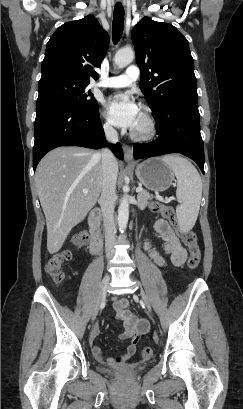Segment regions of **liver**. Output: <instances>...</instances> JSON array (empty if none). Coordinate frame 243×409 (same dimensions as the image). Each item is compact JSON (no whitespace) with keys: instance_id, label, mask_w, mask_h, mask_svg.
Masks as SVG:
<instances>
[{"instance_id":"obj_1","label":"liver","mask_w":243,"mask_h":409,"mask_svg":"<svg viewBox=\"0 0 243 409\" xmlns=\"http://www.w3.org/2000/svg\"><path fill=\"white\" fill-rule=\"evenodd\" d=\"M118 172V163L116 161ZM100 153L82 147H59L47 153L35 173L47 226V250L58 252L74 226L96 204L102 190ZM88 190L87 194L83 190Z\"/></svg>"}]
</instances>
